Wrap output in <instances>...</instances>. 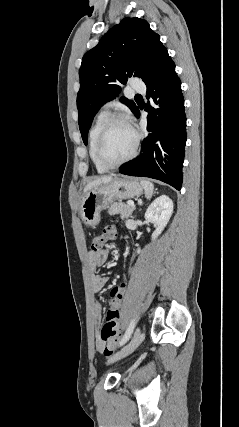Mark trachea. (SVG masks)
Returning <instances> with one entry per match:
<instances>
[{"label": "trachea", "mask_w": 239, "mask_h": 427, "mask_svg": "<svg viewBox=\"0 0 239 427\" xmlns=\"http://www.w3.org/2000/svg\"><path fill=\"white\" fill-rule=\"evenodd\" d=\"M136 97H141V95L137 94Z\"/></svg>", "instance_id": "obj_1"}]
</instances>
